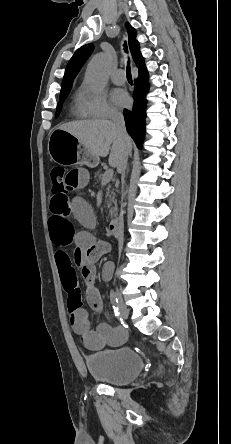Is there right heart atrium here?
<instances>
[{
    "mask_svg": "<svg viewBox=\"0 0 231 444\" xmlns=\"http://www.w3.org/2000/svg\"><path fill=\"white\" fill-rule=\"evenodd\" d=\"M78 110L83 117L114 118L118 116V111L104 93L93 92L85 86L80 90Z\"/></svg>",
    "mask_w": 231,
    "mask_h": 444,
    "instance_id": "obj_1",
    "label": "right heart atrium"
}]
</instances>
